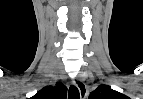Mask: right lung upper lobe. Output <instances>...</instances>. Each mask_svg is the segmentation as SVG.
I'll return each mask as SVG.
<instances>
[{
    "label": "right lung upper lobe",
    "mask_w": 143,
    "mask_h": 99,
    "mask_svg": "<svg viewBox=\"0 0 143 99\" xmlns=\"http://www.w3.org/2000/svg\"><path fill=\"white\" fill-rule=\"evenodd\" d=\"M67 88L62 83L55 87L47 86L37 92L31 99H66Z\"/></svg>",
    "instance_id": "cb5924a9"
}]
</instances>
